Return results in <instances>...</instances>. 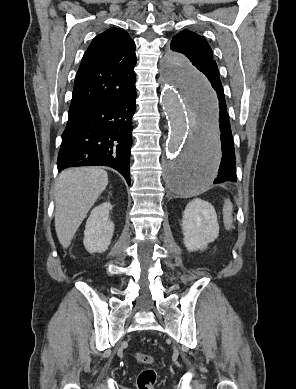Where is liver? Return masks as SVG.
I'll use <instances>...</instances> for the list:
<instances>
[{"label":"liver","instance_id":"obj_1","mask_svg":"<svg viewBox=\"0 0 296 389\" xmlns=\"http://www.w3.org/2000/svg\"><path fill=\"white\" fill-rule=\"evenodd\" d=\"M108 184V174L98 167H79L62 171L55 183V230L67 248Z\"/></svg>","mask_w":296,"mask_h":389}]
</instances>
